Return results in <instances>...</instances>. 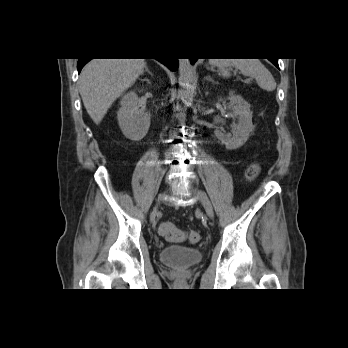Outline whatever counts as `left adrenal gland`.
Returning <instances> with one entry per match:
<instances>
[{"label": "left adrenal gland", "instance_id": "obj_1", "mask_svg": "<svg viewBox=\"0 0 348 348\" xmlns=\"http://www.w3.org/2000/svg\"><path fill=\"white\" fill-rule=\"evenodd\" d=\"M205 80H207V81H210V82H213L214 83V80L210 77V76H206L205 77Z\"/></svg>", "mask_w": 348, "mask_h": 348}]
</instances>
